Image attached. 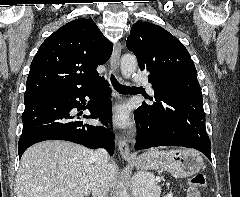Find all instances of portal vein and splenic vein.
<instances>
[{
	"label": "portal vein and splenic vein",
	"instance_id": "1",
	"mask_svg": "<svg viewBox=\"0 0 240 197\" xmlns=\"http://www.w3.org/2000/svg\"><path fill=\"white\" fill-rule=\"evenodd\" d=\"M70 187H71V188H74V187H75V185H70Z\"/></svg>",
	"mask_w": 240,
	"mask_h": 197
}]
</instances>
